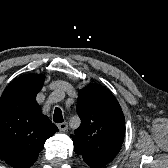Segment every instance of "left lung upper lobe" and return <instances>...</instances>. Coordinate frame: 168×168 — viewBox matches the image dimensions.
<instances>
[{"label": "left lung upper lobe", "instance_id": "5c2ea615", "mask_svg": "<svg viewBox=\"0 0 168 168\" xmlns=\"http://www.w3.org/2000/svg\"><path fill=\"white\" fill-rule=\"evenodd\" d=\"M77 113L81 125L71 135L75 153L91 168L110 163L125 136V118L114 95L92 83L79 91Z\"/></svg>", "mask_w": 168, "mask_h": 168}]
</instances>
